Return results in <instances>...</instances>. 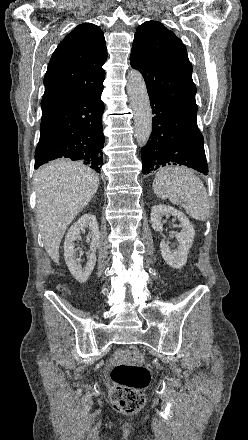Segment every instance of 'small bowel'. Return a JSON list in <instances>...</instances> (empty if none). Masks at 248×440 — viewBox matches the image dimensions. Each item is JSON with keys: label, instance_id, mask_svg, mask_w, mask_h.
<instances>
[{"label": "small bowel", "instance_id": "small-bowel-1", "mask_svg": "<svg viewBox=\"0 0 248 440\" xmlns=\"http://www.w3.org/2000/svg\"><path fill=\"white\" fill-rule=\"evenodd\" d=\"M119 356H120V353H119V352L116 353V355H115V357H114V360L117 359Z\"/></svg>", "mask_w": 248, "mask_h": 440}]
</instances>
